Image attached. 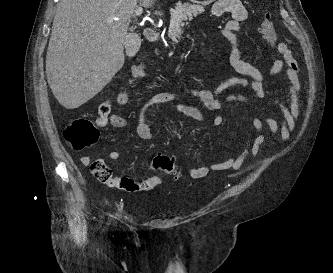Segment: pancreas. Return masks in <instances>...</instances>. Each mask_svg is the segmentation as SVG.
Wrapping results in <instances>:
<instances>
[{
    "mask_svg": "<svg viewBox=\"0 0 333 273\" xmlns=\"http://www.w3.org/2000/svg\"><path fill=\"white\" fill-rule=\"evenodd\" d=\"M204 8L192 5L189 3H178L174 9L171 10V20L168 30V37L172 41H177L183 33L182 28L184 27V21H191L193 17L203 13Z\"/></svg>",
    "mask_w": 333,
    "mask_h": 273,
    "instance_id": "pancreas-1",
    "label": "pancreas"
}]
</instances>
